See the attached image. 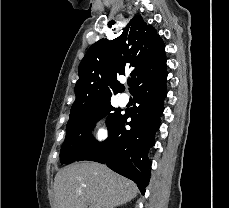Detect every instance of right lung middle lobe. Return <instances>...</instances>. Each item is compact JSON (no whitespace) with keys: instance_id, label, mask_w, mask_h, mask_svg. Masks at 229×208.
I'll list each match as a JSON object with an SVG mask.
<instances>
[{"instance_id":"right-lung-middle-lobe-1","label":"right lung middle lobe","mask_w":229,"mask_h":208,"mask_svg":"<svg viewBox=\"0 0 229 208\" xmlns=\"http://www.w3.org/2000/svg\"><path fill=\"white\" fill-rule=\"evenodd\" d=\"M114 111L113 113H110ZM121 109L114 108L110 100L102 102L87 114L70 118L66 126V138L60 152L62 164L77 161L84 153L94 147L97 142L92 136L94 124L108 115L106 123L108 130L114 129L122 118Z\"/></svg>"}]
</instances>
